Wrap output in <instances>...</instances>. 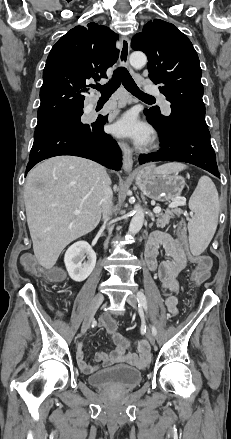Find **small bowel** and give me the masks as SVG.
Here are the masks:
<instances>
[{
  "mask_svg": "<svg viewBox=\"0 0 231 439\" xmlns=\"http://www.w3.org/2000/svg\"><path fill=\"white\" fill-rule=\"evenodd\" d=\"M163 248L168 255V259L159 262L157 260L159 249ZM187 246L180 236L161 231L153 232L146 244L145 259L150 270L154 271L161 282L162 290L166 296L165 303L170 314L175 316L178 312L177 294L180 292L178 283L179 275L186 269L188 264ZM61 316V313H59ZM115 344L114 350L110 354L98 352L95 355L97 363L103 366L114 364H128L139 368L145 367L150 359L148 346L144 340L135 343L137 352L130 350L131 343L117 331V324L110 316H104L99 322ZM77 362L84 373H92L97 370V366L86 362L84 351L80 347L77 351Z\"/></svg>",
  "mask_w": 231,
  "mask_h": 439,
  "instance_id": "c3829d8e",
  "label": "small bowel"
}]
</instances>
